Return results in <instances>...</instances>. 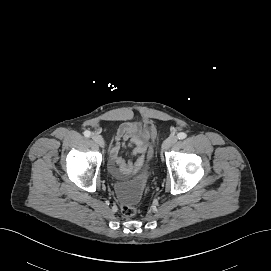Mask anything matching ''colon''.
Listing matches in <instances>:
<instances>
[{
	"label": "colon",
	"instance_id": "1",
	"mask_svg": "<svg viewBox=\"0 0 271 271\" xmlns=\"http://www.w3.org/2000/svg\"><path fill=\"white\" fill-rule=\"evenodd\" d=\"M121 212L125 217H133L138 213V208L134 204H124L121 206Z\"/></svg>",
	"mask_w": 271,
	"mask_h": 271
}]
</instances>
